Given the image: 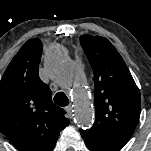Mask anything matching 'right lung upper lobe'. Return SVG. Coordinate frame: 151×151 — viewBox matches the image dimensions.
Returning a JSON list of instances; mask_svg holds the SVG:
<instances>
[{"label":"right lung upper lobe","instance_id":"cb5924a9","mask_svg":"<svg viewBox=\"0 0 151 151\" xmlns=\"http://www.w3.org/2000/svg\"><path fill=\"white\" fill-rule=\"evenodd\" d=\"M42 43L27 41L0 81V130L19 151H51L69 124L38 75Z\"/></svg>","mask_w":151,"mask_h":151}]
</instances>
